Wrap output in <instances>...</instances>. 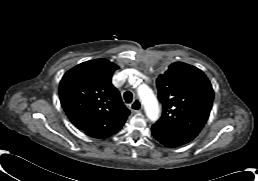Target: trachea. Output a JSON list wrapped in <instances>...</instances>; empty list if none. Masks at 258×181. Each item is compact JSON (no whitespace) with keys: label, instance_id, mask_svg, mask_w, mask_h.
Wrapping results in <instances>:
<instances>
[{"label":"trachea","instance_id":"obj_1","mask_svg":"<svg viewBox=\"0 0 258 181\" xmlns=\"http://www.w3.org/2000/svg\"><path fill=\"white\" fill-rule=\"evenodd\" d=\"M133 99V95L130 91L124 93V100L126 103H131Z\"/></svg>","mask_w":258,"mask_h":181}]
</instances>
